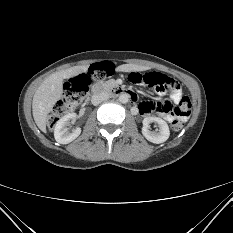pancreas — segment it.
Listing matches in <instances>:
<instances>
[{
  "label": "pancreas",
  "mask_w": 233,
  "mask_h": 233,
  "mask_svg": "<svg viewBox=\"0 0 233 233\" xmlns=\"http://www.w3.org/2000/svg\"><path fill=\"white\" fill-rule=\"evenodd\" d=\"M115 80H109L108 82H107V85H110V86H115Z\"/></svg>",
  "instance_id": "pancreas-1"
}]
</instances>
